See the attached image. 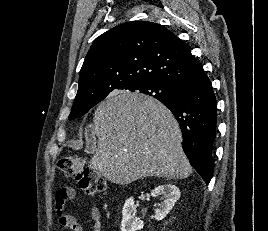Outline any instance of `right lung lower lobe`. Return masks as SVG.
I'll return each mask as SVG.
<instances>
[{"mask_svg":"<svg viewBox=\"0 0 268 231\" xmlns=\"http://www.w3.org/2000/svg\"><path fill=\"white\" fill-rule=\"evenodd\" d=\"M170 98L158 99L177 119L182 147L190 164L208 184L213 172V144L216 136L217 103L205 72L179 84Z\"/></svg>","mask_w":268,"mask_h":231,"instance_id":"1","label":"right lung lower lobe"}]
</instances>
